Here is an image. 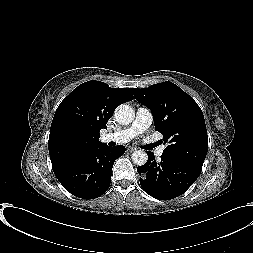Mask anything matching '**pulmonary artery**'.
Wrapping results in <instances>:
<instances>
[{
	"instance_id": "pulmonary-artery-1",
	"label": "pulmonary artery",
	"mask_w": 253,
	"mask_h": 253,
	"mask_svg": "<svg viewBox=\"0 0 253 253\" xmlns=\"http://www.w3.org/2000/svg\"><path fill=\"white\" fill-rule=\"evenodd\" d=\"M152 122L153 116L151 111L148 108L139 107L137 108L135 118L129 127L103 135L102 141H112L120 144L129 142L135 136L145 132L151 126ZM163 151L164 147H159L155 150V155L161 157Z\"/></svg>"
}]
</instances>
